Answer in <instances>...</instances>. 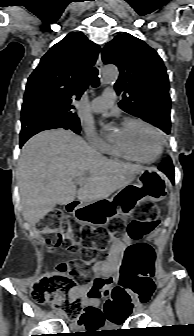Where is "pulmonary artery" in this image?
I'll return each instance as SVG.
<instances>
[{"instance_id":"e3ab8cb5","label":"pulmonary artery","mask_w":194,"mask_h":336,"mask_svg":"<svg viewBox=\"0 0 194 336\" xmlns=\"http://www.w3.org/2000/svg\"><path fill=\"white\" fill-rule=\"evenodd\" d=\"M115 101V92L106 89L103 94L92 100L89 107L93 112H104L108 110Z\"/></svg>"}]
</instances>
